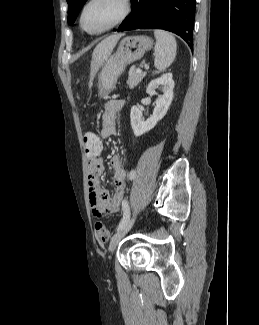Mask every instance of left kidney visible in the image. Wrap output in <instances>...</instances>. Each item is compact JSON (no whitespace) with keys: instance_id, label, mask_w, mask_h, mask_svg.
Masks as SVG:
<instances>
[{"instance_id":"obj_1","label":"left kidney","mask_w":259,"mask_h":325,"mask_svg":"<svg viewBox=\"0 0 259 325\" xmlns=\"http://www.w3.org/2000/svg\"><path fill=\"white\" fill-rule=\"evenodd\" d=\"M161 87L163 94L156 99V106L153 114L146 121L143 120L142 111L133 106L130 112L131 127L136 137L153 129L157 122L160 121L167 113L173 99L174 81L171 73L163 74L161 77L152 80L146 92L149 95H155V90Z\"/></svg>"}]
</instances>
